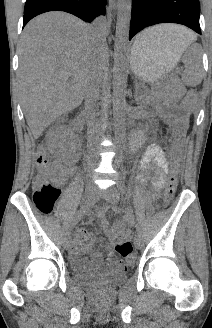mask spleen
<instances>
[{
    "label": "spleen",
    "mask_w": 212,
    "mask_h": 328,
    "mask_svg": "<svg viewBox=\"0 0 212 328\" xmlns=\"http://www.w3.org/2000/svg\"><path fill=\"white\" fill-rule=\"evenodd\" d=\"M147 43L148 41L144 31L138 35L134 45H136L138 48H141V47H145ZM186 46L187 45H185V47ZM194 47H197L199 49V45L195 44ZM199 55H200V50L198 51V55L194 60L188 57H186L184 60L186 64V69L184 71L182 78H183V82L188 86H196L202 81L203 74L199 65Z\"/></svg>",
    "instance_id": "1"
}]
</instances>
